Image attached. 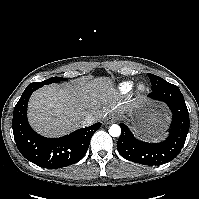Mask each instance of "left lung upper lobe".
I'll return each mask as SVG.
<instances>
[{"instance_id": "5c2ea615", "label": "left lung upper lobe", "mask_w": 199, "mask_h": 199, "mask_svg": "<svg viewBox=\"0 0 199 199\" xmlns=\"http://www.w3.org/2000/svg\"><path fill=\"white\" fill-rule=\"evenodd\" d=\"M148 76L151 80L152 92L162 91V90H166L168 88L176 87L175 85L165 81L164 79H162L161 77H158L156 75L149 73Z\"/></svg>"}]
</instances>
